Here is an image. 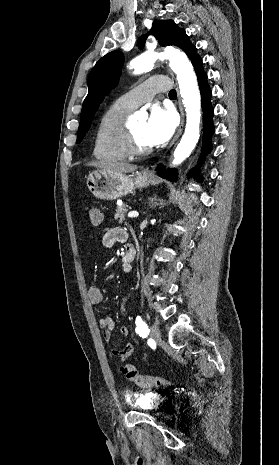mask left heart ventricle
Masks as SVG:
<instances>
[{
	"label": "left heart ventricle",
	"mask_w": 279,
	"mask_h": 465,
	"mask_svg": "<svg viewBox=\"0 0 279 465\" xmlns=\"http://www.w3.org/2000/svg\"><path fill=\"white\" fill-rule=\"evenodd\" d=\"M145 126H146L145 121L136 122L130 126L134 134L136 143L141 148H147L151 146L145 135Z\"/></svg>",
	"instance_id": "1"
}]
</instances>
